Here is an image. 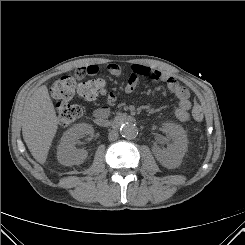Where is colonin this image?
<instances>
[{"label": "colon", "instance_id": "obj_1", "mask_svg": "<svg viewBox=\"0 0 245 245\" xmlns=\"http://www.w3.org/2000/svg\"><path fill=\"white\" fill-rule=\"evenodd\" d=\"M106 82L103 78H92L77 85L71 75H64L59 78L51 88L52 96L58 100L56 111L61 125L67 126L75 122L82 115V108L79 105L69 103V100L77 92L85 99H95L105 92ZM192 115L197 121H202L203 110L195 102Z\"/></svg>", "mask_w": 245, "mask_h": 245}]
</instances>
